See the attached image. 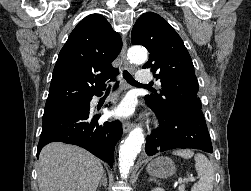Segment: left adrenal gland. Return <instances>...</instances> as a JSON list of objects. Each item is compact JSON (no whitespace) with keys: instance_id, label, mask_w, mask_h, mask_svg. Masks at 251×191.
Here are the masks:
<instances>
[{"instance_id":"a2214340","label":"left adrenal gland","mask_w":251,"mask_h":191,"mask_svg":"<svg viewBox=\"0 0 251 191\" xmlns=\"http://www.w3.org/2000/svg\"><path fill=\"white\" fill-rule=\"evenodd\" d=\"M148 181H156V183H158L157 179H155V177H150V179H148Z\"/></svg>"}]
</instances>
